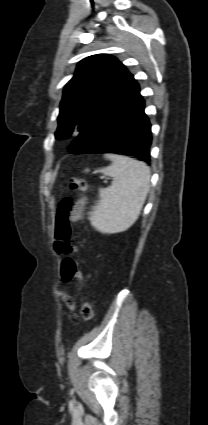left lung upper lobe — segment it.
I'll list each match as a JSON object with an SVG mask.
<instances>
[{
	"mask_svg": "<svg viewBox=\"0 0 208 425\" xmlns=\"http://www.w3.org/2000/svg\"><path fill=\"white\" fill-rule=\"evenodd\" d=\"M133 80L125 66L109 54L81 60L64 87L56 139H65L76 130L81 132ZM69 149L74 154L80 153L75 140Z\"/></svg>",
	"mask_w": 208,
	"mask_h": 425,
	"instance_id": "left-lung-upper-lobe-1",
	"label": "left lung upper lobe"
}]
</instances>
